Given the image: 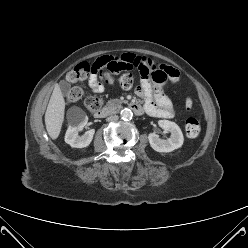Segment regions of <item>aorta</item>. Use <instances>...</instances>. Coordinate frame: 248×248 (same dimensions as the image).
I'll list each match as a JSON object with an SVG mask.
<instances>
[{
	"mask_svg": "<svg viewBox=\"0 0 248 248\" xmlns=\"http://www.w3.org/2000/svg\"><path fill=\"white\" fill-rule=\"evenodd\" d=\"M120 116H121V119L122 120L128 121V120H131L132 119L133 112L130 109L125 108V109L121 110Z\"/></svg>",
	"mask_w": 248,
	"mask_h": 248,
	"instance_id": "aorta-1",
	"label": "aorta"
}]
</instances>
